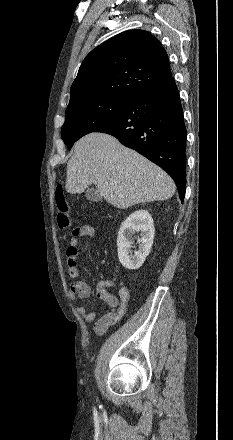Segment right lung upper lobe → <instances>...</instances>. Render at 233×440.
Instances as JSON below:
<instances>
[{"instance_id":"right-lung-upper-lobe-1","label":"right lung upper lobe","mask_w":233,"mask_h":440,"mask_svg":"<svg viewBox=\"0 0 233 440\" xmlns=\"http://www.w3.org/2000/svg\"><path fill=\"white\" fill-rule=\"evenodd\" d=\"M170 77L161 43L147 31L128 30L86 56L71 86L69 104L94 97L130 99Z\"/></svg>"}]
</instances>
